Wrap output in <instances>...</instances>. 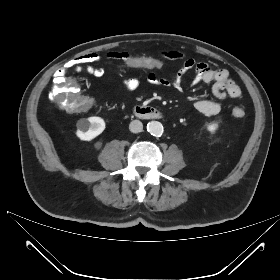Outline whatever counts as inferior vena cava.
Listing matches in <instances>:
<instances>
[{
    "instance_id": "obj_1",
    "label": "inferior vena cava",
    "mask_w": 280,
    "mask_h": 280,
    "mask_svg": "<svg viewBox=\"0 0 280 280\" xmlns=\"http://www.w3.org/2000/svg\"><path fill=\"white\" fill-rule=\"evenodd\" d=\"M129 129L132 133H139L142 131L143 129V124L141 121L139 120H133L130 124H129Z\"/></svg>"
}]
</instances>
